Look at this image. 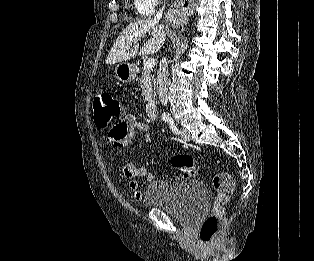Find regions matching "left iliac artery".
I'll return each mask as SVG.
<instances>
[{
    "label": "left iliac artery",
    "mask_w": 314,
    "mask_h": 261,
    "mask_svg": "<svg viewBox=\"0 0 314 261\" xmlns=\"http://www.w3.org/2000/svg\"><path fill=\"white\" fill-rule=\"evenodd\" d=\"M167 122H168V124H169V126H170V128H171V130H172V132L174 134H179L180 133L172 118H169L167 120Z\"/></svg>",
    "instance_id": "obj_1"
}]
</instances>
